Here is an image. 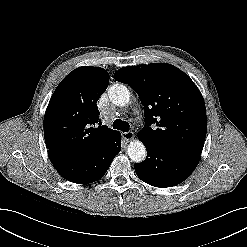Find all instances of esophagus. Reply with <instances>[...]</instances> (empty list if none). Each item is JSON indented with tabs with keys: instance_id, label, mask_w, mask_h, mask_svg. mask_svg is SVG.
<instances>
[{
	"instance_id": "obj_1",
	"label": "esophagus",
	"mask_w": 247,
	"mask_h": 247,
	"mask_svg": "<svg viewBox=\"0 0 247 247\" xmlns=\"http://www.w3.org/2000/svg\"><path fill=\"white\" fill-rule=\"evenodd\" d=\"M122 137H123L126 141H131V140L134 138V132H132V131L123 132V133H122Z\"/></svg>"
}]
</instances>
